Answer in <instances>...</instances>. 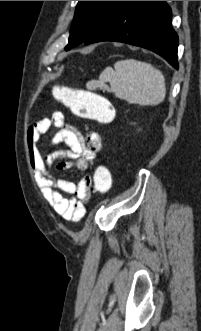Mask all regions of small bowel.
Instances as JSON below:
<instances>
[{"instance_id": "c3829d8e", "label": "small bowel", "mask_w": 201, "mask_h": 331, "mask_svg": "<svg viewBox=\"0 0 201 331\" xmlns=\"http://www.w3.org/2000/svg\"><path fill=\"white\" fill-rule=\"evenodd\" d=\"M52 126L57 128L52 142H63L67 149L43 156L39 148L41 136ZM27 144L33 174L46 202L64 220L79 221L85 214L91 178L84 175L77 182L63 180L53 176L50 168L57 161L56 169L59 171L70 168L86 170L102 149L100 135L90 131L83 137L77 129L66 123L62 112L55 111L50 117L38 120L29 128ZM63 193L75 197L68 198Z\"/></svg>"}]
</instances>
